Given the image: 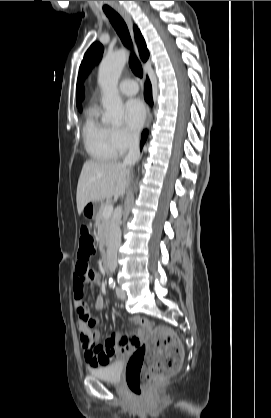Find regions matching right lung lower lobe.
Listing matches in <instances>:
<instances>
[{
    "label": "right lung lower lobe",
    "instance_id": "1",
    "mask_svg": "<svg viewBox=\"0 0 271 418\" xmlns=\"http://www.w3.org/2000/svg\"><path fill=\"white\" fill-rule=\"evenodd\" d=\"M145 98L148 102L152 104V89L151 84L149 80H147V83L145 84ZM147 137V131L145 130L142 134V140L140 146L142 147Z\"/></svg>",
    "mask_w": 271,
    "mask_h": 418
}]
</instances>
